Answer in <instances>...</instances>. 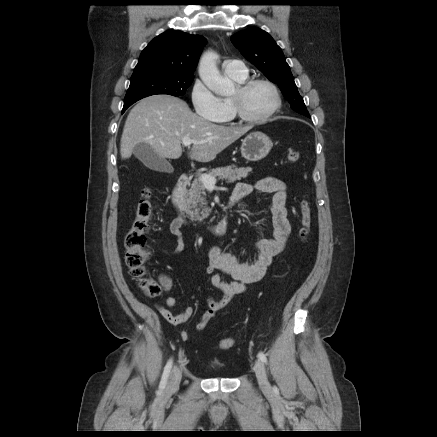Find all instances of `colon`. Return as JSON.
<instances>
[{
    "label": "colon",
    "instance_id": "obj_1",
    "mask_svg": "<svg viewBox=\"0 0 437 437\" xmlns=\"http://www.w3.org/2000/svg\"><path fill=\"white\" fill-rule=\"evenodd\" d=\"M287 161L296 163L300 158L298 150L289 148L286 154ZM154 211L152 193L149 189L141 192L138 201L135 218L130 229L124 237V247L126 250L125 262L129 268L130 275L139 282L144 294L148 297H156L161 293V282L149 275L147 262L151 252L147 246L146 235L150 230V223ZM311 209L309 203L304 200L300 206V229L299 236L302 241H306L311 230ZM234 339L231 337L224 338L220 341L219 347L223 350L231 348Z\"/></svg>",
    "mask_w": 437,
    "mask_h": 437
}]
</instances>
